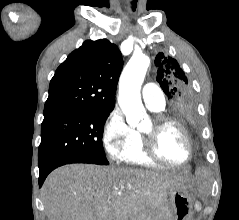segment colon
Here are the masks:
<instances>
[{"instance_id":"1","label":"colon","mask_w":239,"mask_h":220,"mask_svg":"<svg viewBox=\"0 0 239 220\" xmlns=\"http://www.w3.org/2000/svg\"><path fill=\"white\" fill-rule=\"evenodd\" d=\"M184 219V215L180 216L178 220H183Z\"/></svg>"}]
</instances>
